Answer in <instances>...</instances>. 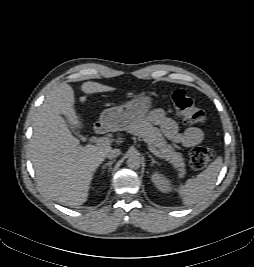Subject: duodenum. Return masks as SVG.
<instances>
[{"instance_id":"410a0bca","label":"duodenum","mask_w":254,"mask_h":267,"mask_svg":"<svg viewBox=\"0 0 254 267\" xmlns=\"http://www.w3.org/2000/svg\"><path fill=\"white\" fill-rule=\"evenodd\" d=\"M95 131L98 134H103L106 131V127L104 125H102V124H97L96 127H95Z\"/></svg>"}]
</instances>
